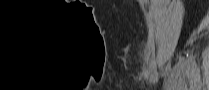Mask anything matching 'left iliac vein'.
<instances>
[{
    "label": "left iliac vein",
    "mask_w": 209,
    "mask_h": 90,
    "mask_svg": "<svg viewBox=\"0 0 209 90\" xmlns=\"http://www.w3.org/2000/svg\"><path fill=\"white\" fill-rule=\"evenodd\" d=\"M189 82H190V86H191V87H195V86H196V84H195L196 80H195L194 75H191V76L189 77Z\"/></svg>",
    "instance_id": "4c4485c4"
}]
</instances>
